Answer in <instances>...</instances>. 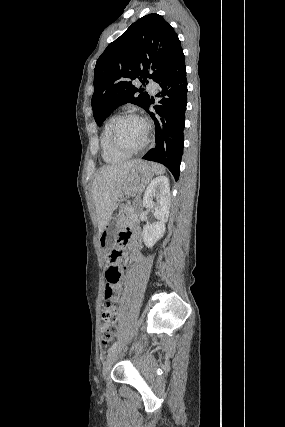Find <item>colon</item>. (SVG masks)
<instances>
[{
	"label": "colon",
	"mask_w": 285,
	"mask_h": 427,
	"mask_svg": "<svg viewBox=\"0 0 285 427\" xmlns=\"http://www.w3.org/2000/svg\"><path fill=\"white\" fill-rule=\"evenodd\" d=\"M120 251L112 250L108 257V265L105 268V278H106V295L107 299L103 303V325L101 327L100 337L103 343H108L112 340L116 334L115 322L117 319V310L114 306V302L109 298L111 295V287L117 286L121 280V269L118 266V261L120 259Z\"/></svg>",
	"instance_id": "5ec220e1"
}]
</instances>
